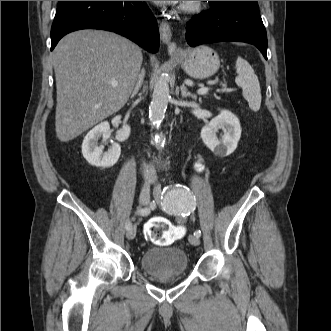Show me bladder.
I'll list each match as a JSON object with an SVG mask.
<instances>
[{"label": "bladder", "mask_w": 331, "mask_h": 331, "mask_svg": "<svg viewBox=\"0 0 331 331\" xmlns=\"http://www.w3.org/2000/svg\"><path fill=\"white\" fill-rule=\"evenodd\" d=\"M140 266L153 277H177L188 271L189 260L186 253L177 246L154 247L141 254Z\"/></svg>", "instance_id": "1"}]
</instances>
